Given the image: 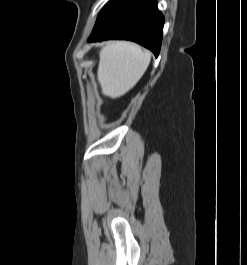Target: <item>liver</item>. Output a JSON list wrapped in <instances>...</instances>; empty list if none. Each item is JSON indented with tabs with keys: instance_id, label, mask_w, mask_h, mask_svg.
Wrapping results in <instances>:
<instances>
[{
	"instance_id": "1",
	"label": "liver",
	"mask_w": 247,
	"mask_h": 265,
	"mask_svg": "<svg viewBox=\"0 0 247 265\" xmlns=\"http://www.w3.org/2000/svg\"><path fill=\"white\" fill-rule=\"evenodd\" d=\"M97 78L102 94L117 98L141 79L147 70L151 53L128 41H112L103 45L99 54Z\"/></svg>"
}]
</instances>
